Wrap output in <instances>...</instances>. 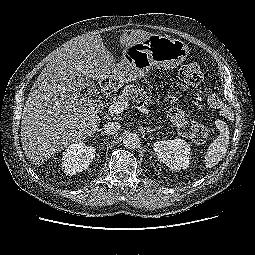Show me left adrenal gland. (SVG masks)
Masks as SVG:
<instances>
[{
  "label": "left adrenal gland",
  "instance_id": "obj_1",
  "mask_svg": "<svg viewBox=\"0 0 255 255\" xmlns=\"http://www.w3.org/2000/svg\"><path fill=\"white\" fill-rule=\"evenodd\" d=\"M157 128H159V127H156V128H154V129H150L149 127H147L146 130H147L148 133H152V132H154Z\"/></svg>",
  "mask_w": 255,
  "mask_h": 255
}]
</instances>
